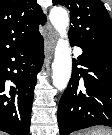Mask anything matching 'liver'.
Returning <instances> with one entry per match:
<instances>
[{
  "label": "liver",
  "mask_w": 112,
  "mask_h": 135,
  "mask_svg": "<svg viewBox=\"0 0 112 135\" xmlns=\"http://www.w3.org/2000/svg\"><path fill=\"white\" fill-rule=\"evenodd\" d=\"M0 135H4L2 132H0Z\"/></svg>",
  "instance_id": "obj_1"
}]
</instances>
